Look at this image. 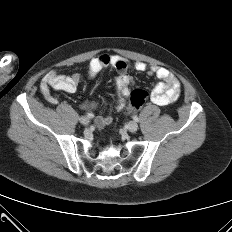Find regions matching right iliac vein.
Returning a JSON list of instances; mask_svg holds the SVG:
<instances>
[{"mask_svg": "<svg viewBox=\"0 0 232 232\" xmlns=\"http://www.w3.org/2000/svg\"><path fill=\"white\" fill-rule=\"evenodd\" d=\"M79 121H80V123L83 124V125H88V124H89V119H88L87 117H85V116H81V117L79 118Z\"/></svg>", "mask_w": 232, "mask_h": 232, "instance_id": "63e3f726", "label": "right iliac vein"}]
</instances>
